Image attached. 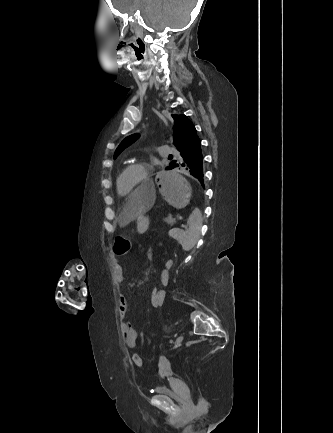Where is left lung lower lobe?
Instances as JSON below:
<instances>
[{
  "instance_id": "obj_1",
  "label": "left lung lower lobe",
  "mask_w": 333,
  "mask_h": 433,
  "mask_svg": "<svg viewBox=\"0 0 333 433\" xmlns=\"http://www.w3.org/2000/svg\"><path fill=\"white\" fill-rule=\"evenodd\" d=\"M171 167L172 169L183 170L203 183V154L200 139L198 138L185 151L180 153L176 160L172 162Z\"/></svg>"
}]
</instances>
